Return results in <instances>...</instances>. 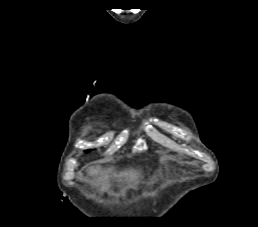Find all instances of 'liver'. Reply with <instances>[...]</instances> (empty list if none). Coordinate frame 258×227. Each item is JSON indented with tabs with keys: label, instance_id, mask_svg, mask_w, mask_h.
<instances>
[{
	"label": "liver",
	"instance_id": "6515ba94",
	"mask_svg": "<svg viewBox=\"0 0 258 227\" xmlns=\"http://www.w3.org/2000/svg\"><path fill=\"white\" fill-rule=\"evenodd\" d=\"M88 173L90 175H97L98 180H100L102 182L108 181V179L110 177L109 172H104L100 166L90 168ZM110 173H112V172H110ZM112 175L114 177L118 178L119 180H122L123 178H125L126 181H129L134 184L137 183L138 173L134 170L124 171L119 174L113 173ZM122 193H124V190Z\"/></svg>",
	"mask_w": 258,
	"mask_h": 227
}]
</instances>
